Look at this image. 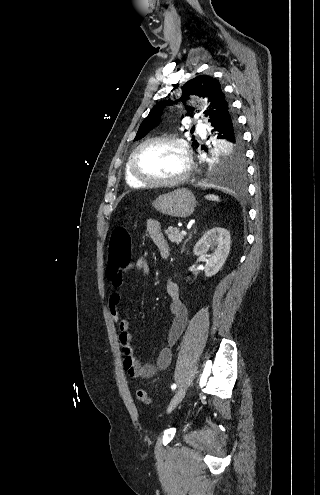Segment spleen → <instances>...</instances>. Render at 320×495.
<instances>
[{"label": "spleen", "mask_w": 320, "mask_h": 495, "mask_svg": "<svg viewBox=\"0 0 320 495\" xmlns=\"http://www.w3.org/2000/svg\"><path fill=\"white\" fill-rule=\"evenodd\" d=\"M206 198H207L208 200H211V201H217V202H219V201H220L219 197H218V196H216V195H214V194L207 195V196H206Z\"/></svg>", "instance_id": "1"}]
</instances>
